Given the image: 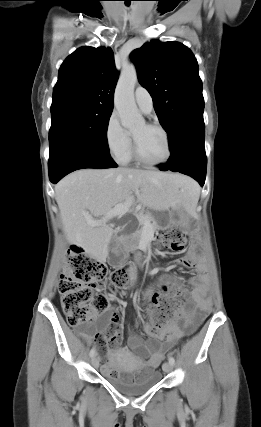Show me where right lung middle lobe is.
<instances>
[{"label":"right lung middle lobe","instance_id":"1","mask_svg":"<svg viewBox=\"0 0 261 427\" xmlns=\"http://www.w3.org/2000/svg\"><path fill=\"white\" fill-rule=\"evenodd\" d=\"M110 108L70 105L51 109L50 154L62 149H81L110 154L107 128Z\"/></svg>","mask_w":261,"mask_h":427}]
</instances>
